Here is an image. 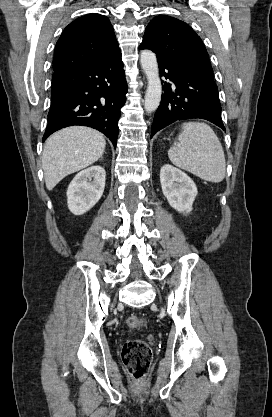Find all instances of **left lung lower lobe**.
<instances>
[{
	"mask_svg": "<svg viewBox=\"0 0 272 417\" xmlns=\"http://www.w3.org/2000/svg\"><path fill=\"white\" fill-rule=\"evenodd\" d=\"M158 64L160 75L174 85L164 83L163 98L154 116L151 137L176 121L192 118L208 120L225 130L218 88L212 77L174 62L158 61Z\"/></svg>",
	"mask_w": 272,
	"mask_h": 417,
	"instance_id": "1",
	"label": "left lung lower lobe"
}]
</instances>
